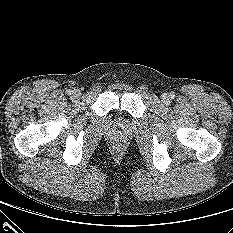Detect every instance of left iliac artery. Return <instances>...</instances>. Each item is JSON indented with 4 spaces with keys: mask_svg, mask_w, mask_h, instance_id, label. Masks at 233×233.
Masks as SVG:
<instances>
[{
    "mask_svg": "<svg viewBox=\"0 0 233 233\" xmlns=\"http://www.w3.org/2000/svg\"><path fill=\"white\" fill-rule=\"evenodd\" d=\"M170 97H171V98H174V97H175L174 93H171V94H170Z\"/></svg>",
    "mask_w": 233,
    "mask_h": 233,
    "instance_id": "obj_1",
    "label": "left iliac artery"
}]
</instances>
